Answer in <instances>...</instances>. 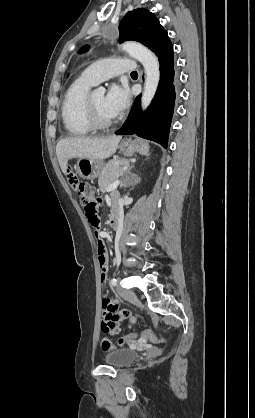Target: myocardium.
Here are the masks:
<instances>
[{
    "mask_svg": "<svg viewBox=\"0 0 255 418\" xmlns=\"http://www.w3.org/2000/svg\"><path fill=\"white\" fill-rule=\"evenodd\" d=\"M86 115H87L88 122L93 129H97V130L108 129L114 123L113 120L105 121V120H102L98 116L96 109L92 102V93H89L86 99Z\"/></svg>",
    "mask_w": 255,
    "mask_h": 418,
    "instance_id": "myocardium-1",
    "label": "myocardium"
}]
</instances>
